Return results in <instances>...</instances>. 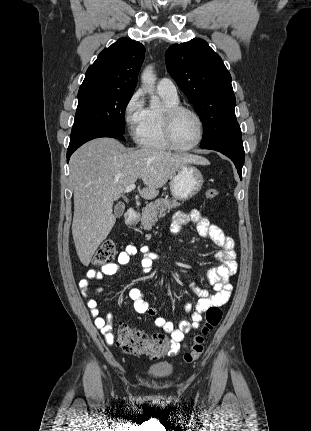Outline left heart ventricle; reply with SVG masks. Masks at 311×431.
Masks as SVG:
<instances>
[{
  "instance_id": "b2bd125f",
  "label": "left heart ventricle",
  "mask_w": 311,
  "mask_h": 431,
  "mask_svg": "<svg viewBox=\"0 0 311 431\" xmlns=\"http://www.w3.org/2000/svg\"><path fill=\"white\" fill-rule=\"evenodd\" d=\"M200 132V123L195 115L183 112L176 119L174 136L180 146H189L195 143Z\"/></svg>"
}]
</instances>
